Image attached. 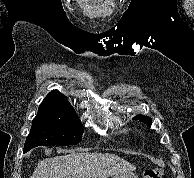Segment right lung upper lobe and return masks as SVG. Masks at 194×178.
I'll return each instance as SVG.
<instances>
[{
  "instance_id": "cb5924a9",
  "label": "right lung upper lobe",
  "mask_w": 194,
  "mask_h": 178,
  "mask_svg": "<svg viewBox=\"0 0 194 178\" xmlns=\"http://www.w3.org/2000/svg\"><path fill=\"white\" fill-rule=\"evenodd\" d=\"M40 106H48L76 114L74 108L69 103L67 98L57 90H53L48 93V95L44 98Z\"/></svg>"
}]
</instances>
